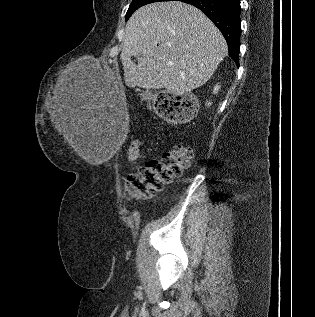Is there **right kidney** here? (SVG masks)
Wrapping results in <instances>:
<instances>
[{"label": "right kidney", "instance_id": "1", "mask_svg": "<svg viewBox=\"0 0 315 317\" xmlns=\"http://www.w3.org/2000/svg\"><path fill=\"white\" fill-rule=\"evenodd\" d=\"M219 89H220V85H216V86L214 87V89H213V93H214V94H217L218 91H219ZM210 105H211V103L208 102V103H207V106H210Z\"/></svg>", "mask_w": 315, "mask_h": 317}]
</instances>
